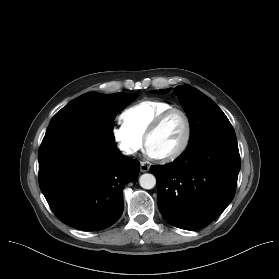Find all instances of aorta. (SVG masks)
Wrapping results in <instances>:
<instances>
[{"label": "aorta", "mask_w": 279, "mask_h": 279, "mask_svg": "<svg viewBox=\"0 0 279 279\" xmlns=\"http://www.w3.org/2000/svg\"><path fill=\"white\" fill-rule=\"evenodd\" d=\"M139 184L144 189H152L156 185V178L153 174H142L139 178Z\"/></svg>", "instance_id": "obj_1"}]
</instances>
